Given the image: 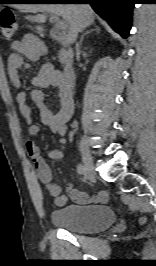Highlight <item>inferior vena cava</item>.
<instances>
[{
    "instance_id": "1",
    "label": "inferior vena cava",
    "mask_w": 156,
    "mask_h": 266,
    "mask_svg": "<svg viewBox=\"0 0 156 266\" xmlns=\"http://www.w3.org/2000/svg\"><path fill=\"white\" fill-rule=\"evenodd\" d=\"M76 49H77V50L79 49V44H78V43H76Z\"/></svg>"
}]
</instances>
